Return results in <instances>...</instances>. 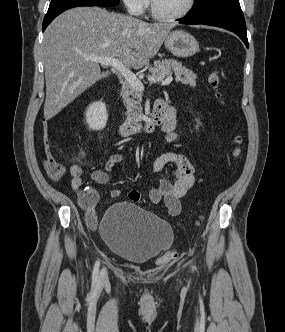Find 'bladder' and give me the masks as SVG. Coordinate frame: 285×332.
Wrapping results in <instances>:
<instances>
[{
	"label": "bladder",
	"instance_id": "obj_1",
	"mask_svg": "<svg viewBox=\"0 0 285 332\" xmlns=\"http://www.w3.org/2000/svg\"><path fill=\"white\" fill-rule=\"evenodd\" d=\"M100 234L120 259L141 264L166 251L173 242L171 226L132 202H116L104 212Z\"/></svg>",
	"mask_w": 285,
	"mask_h": 332
}]
</instances>
